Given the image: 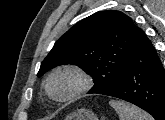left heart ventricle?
Masks as SVG:
<instances>
[{
	"label": "left heart ventricle",
	"mask_w": 165,
	"mask_h": 120,
	"mask_svg": "<svg viewBox=\"0 0 165 120\" xmlns=\"http://www.w3.org/2000/svg\"><path fill=\"white\" fill-rule=\"evenodd\" d=\"M77 86L76 78L71 74H61L55 77L51 84V89L57 97L69 94Z\"/></svg>",
	"instance_id": "obj_1"
}]
</instances>
